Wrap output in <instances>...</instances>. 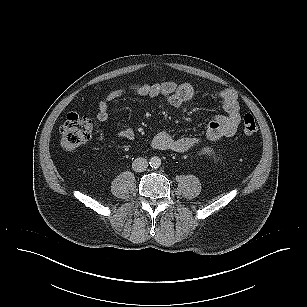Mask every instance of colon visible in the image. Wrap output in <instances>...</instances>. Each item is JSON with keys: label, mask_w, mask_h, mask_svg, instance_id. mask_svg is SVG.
I'll return each instance as SVG.
<instances>
[{"label": "colon", "mask_w": 307, "mask_h": 307, "mask_svg": "<svg viewBox=\"0 0 307 307\" xmlns=\"http://www.w3.org/2000/svg\"><path fill=\"white\" fill-rule=\"evenodd\" d=\"M246 135H253L257 131V123L251 114H246L242 123ZM95 128L93 119L71 113L63 123L61 134V146L66 151H72L90 140Z\"/></svg>", "instance_id": "colon-1"}]
</instances>
